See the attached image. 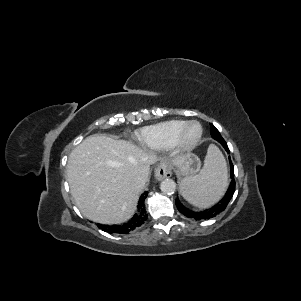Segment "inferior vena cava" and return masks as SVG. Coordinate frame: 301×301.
Returning <instances> with one entry per match:
<instances>
[{
	"label": "inferior vena cava",
	"mask_w": 301,
	"mask_h": 301,
	"mask_svg": "<svg viewBox=\"0 0 301 301\" xmlns=\"http://www.w3.org/2000/svg\"><path fill=\"white\" fill-rule=\"evenodd\" d=\"M145 183H146L145 175H138L134 178V186L136 188L141 189L142 187H144Z\"/></svg>",
	"instance_id": "obj_1"
}]
</instances>
